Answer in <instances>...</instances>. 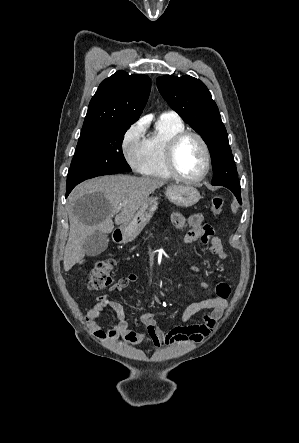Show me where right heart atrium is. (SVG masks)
Wrapping results in <instances>:
<instances>
[{
	"label": "right heart atrium",
	"mask_w": 299,
	"mask_h": 443,
	"mask_svg": "<svg viewBox=\"0 0 299 443\" xmlns=\"http://www.w3.org/2000/svg\"><path fill=\"white\" fill-rule=\"evenodd\" d=\"M146 124L139 120L131 124L121 139V150L128 164L136 171H140L145 150Z\"/></svg>",
	"instance_id": "right-heart-atrium-1"
}]
</instances>
